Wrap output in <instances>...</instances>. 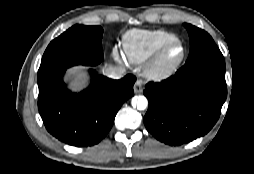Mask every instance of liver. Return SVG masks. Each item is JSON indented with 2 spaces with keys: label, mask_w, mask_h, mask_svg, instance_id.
<instances>
[{
  "label": "liver",
  "mask_w": 254,
  "mask_h": 174,
  "mask_svg": "<svg viewBox=\"0 0 254 174\" xmlns=\"http://www.w3.org/2000/svg\"><path fill=\"white\" fill-rule=\"evenodd\" d=\"M107 68H110V67H107ZM82 69H83L82 66H77V67L71 68L69 70V75H72V76H77L78 75L80 77L81 76L80 72H81ZM73 86H74V88H77L76 84H74Z\"/></svg>",
  "instance_id": "liver-1"
}]
</instances>
